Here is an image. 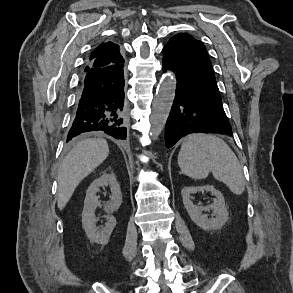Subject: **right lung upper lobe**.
<instances>
[{
	"mask_svg": "<svg viewBox=\"0 0 293 293\" xmlns=\"http://www.w3.org/2000/svg\"><path fill=\"white\" fill-rule=\"evenodd\" d=\"M123 63L124 59L120 54L119 45L109 41L96 48L89 58L88 66L85 68V71L94 68L120 65Z\"/></svg>",
	"mask_w": 293,
	"mask_h": 293,
	"instance_id": "obj_1",
	"label": "right lung upper lobe"
}]
</instances>
